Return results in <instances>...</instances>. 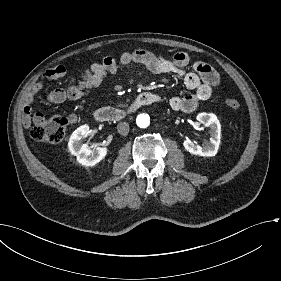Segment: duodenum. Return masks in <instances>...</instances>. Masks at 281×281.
Wrapping results in <instances>:
<instances>
[{"label":"duodenum","mask_w":281,"mask_h":281,"mask_svg":"<svg viewBox=\"0 0 281 281\" xmlns=\"http://www.w3.org/2000/svg\"><path fill=\"white\" fill-rule=\"evenodd\" d=\"M151 100L150 93H143L139 95L127 109H116V108H101L97 110L93 117L98 122H107V121H120L130 113L136 111L143 105H146Z\"/></svg>","instance_id":"duodenum-1"}]
</instances>
